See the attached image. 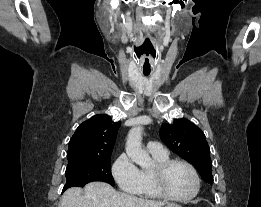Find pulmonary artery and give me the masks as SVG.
<instances>
[{"instance_id":"1","label":"pulmonary artery","mask_w":261,"mask_h":207,"mask_svg":"<svg viewBox=\"0 0 261 207\" xmlns=\"http://www.w3.org/2000/svg\"><path fill=\"white\" fill-rule=\"evenodd\" d=\"M147 148L151 154H156V155L167 154L166 148H164L163 145L155 141L148 142Z\"/></svg>"}]
</instances>
